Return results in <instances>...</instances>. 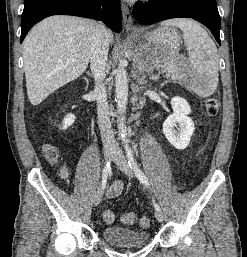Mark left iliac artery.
I'll return each instance as SVG.
<instances>
[{
	"mask_svg": "<svg viewBox=\"0 0 247 257\" xmlns=\"http://www.w3.org/2000/svg\"><path fill=\"white\" fill-rule=\"evenodd\" d=\"M124 142H125V150H126V155H127V158H128V164L130 166V168L134 171L136 177L140 180V182L142 184H144L145 186L149 187V182H148V179L146 177V175L142 172V170L137 166V163L134 159V156H133V153H132V150L128 144V140L127 139H124ZM153 205H154V208L157 210V211H160L161 208L160 206L155 202L154 198H153Z\"/></svg>",
	"mask_w": 247,
	"mask_h": 257,
	"instance_id": "44dca946",
	"label": "left iliac artery"
}]
</instances>
